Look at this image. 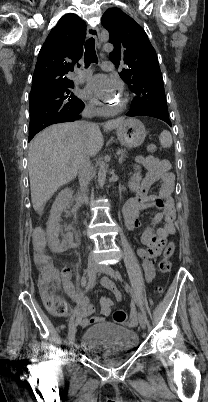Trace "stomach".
I'll list each match as a JSON object with an SVG mask.
<instances>
[{
    "label": "stomach",
    "mask_w": 208,
    "mask_h": 402,
    "mask_svg": "<svg viewBox=\"0 0 208 402\" xmlns=\"http://www.w3.org/2000/svg\"><path fill=\"white\" fill-rule=\"evenodd\" d=\"M116 134L122 146L137 148L144 142L146 130L142 122L135 120V118H129V120H123L122 124L118 126Z\"/></svg>",
    "instance_id": "1"
}]
</instances>
